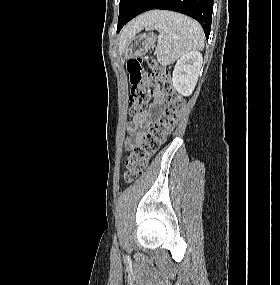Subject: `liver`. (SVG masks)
Wrapping results in <instances>:
<instances>
[{
  "label": "liver",
  "mask_w": 280,
  "mask_h": 285,
  "mask_svg": "<svg viewBox=\"0 0 280 285\" xmlns=\"http://www.w3.org/2000/svg\"><path fill=\"white\" fill-rule=\"evenodd\" d=\"M154 16L155 11L145 13L132 20L122 31L120 36V46L125 45V43L145 27Z\"/></svg>",
  "instance_id": "liver-1"
}]
</instances>
